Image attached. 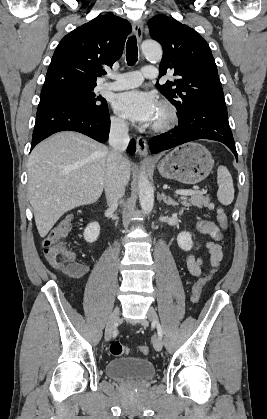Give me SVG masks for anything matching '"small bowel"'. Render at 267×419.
Segmentation results:
<instances>
[{
    "label": "small bowel",
    "instance_id": "small-bowel-1",
    "mask_svg": "<svg viewBox=\"0 0 267 419\" xmlns=\"http://www.w3.org/2000/svg\"><path fill=\"white\" fill-rule=\"evenodd\" d=\"M197 230L205 236H208L209 239L204 241L206 248L210 254V263L213 267L219 266L222 260V248L220 244L217 242L220 238L219 228L210 221H201L197 224ZM200 246V243L195 245L196 248ZM186 265L189 272L194 277H199L202 273L203 269V261L200 257H196L194 255H189L186 258ZM85 268H82L81 273L78 275L82 277L85 274Z\"/></svg>",
    "mask_w": 267,
    "mask_h": 419
}]
</instances>
